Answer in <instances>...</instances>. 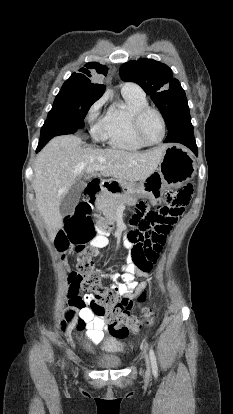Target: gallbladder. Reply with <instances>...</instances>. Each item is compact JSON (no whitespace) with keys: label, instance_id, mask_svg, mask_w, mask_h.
Masks as SVG:
<instances>
[{"label":"gallbladder","instance_id":"bac80fb5","mask_svg":"<svg viewBox=\"0 0 233 414\" xmlns=\"http://www.w3.org/2000/svg\"><path fill=\"white\" fill-rule=\"evenodd\" d=\"M81 189H82V185L80 184H74L70 188L69 192L64 197L60 205V212L62 216L69 215L74 211L79 201V195H80Z\"/></svg>","mask_w":233,"mask_h":414}]
</instances>
